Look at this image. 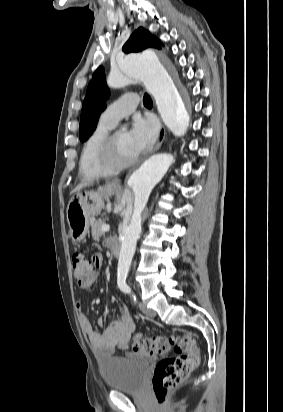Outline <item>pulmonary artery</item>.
Returning <instances> with one entry per match:
<instances>
[{
    "instance_id": "obj_1",
    "label": "pulmonary artery",
    "mask_w": 283,
    "mask_h": 412,
    "mask_svg": "<svg viewBox=\"0 0 283 412\" xmlns=\"http://www.w3.org/2000/svg\"><path fill=\"white\" fill-rule=\"evenodd\" d=\"M139 98L126 94L109 104L100 115V121L114 127L122 118L129 116L137 107Z\"/></svg>"
}]
</instances>
